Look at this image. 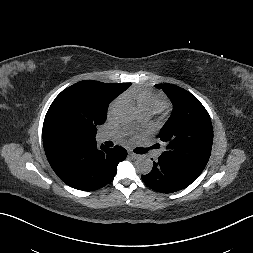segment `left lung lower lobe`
<instances>
[{"label": "left lung lower lobe", "mask_w": 253, "mask_h": 253, "mask_svg": "<svg viewBox=\"0 0 253 253\" xmlns=\"http://www.w3.org/2000/svg\"><path fill=\"white\" fill-rule=\"evenodd\" d=\"M202 171L184 163L159 156L153 162V169L142 175L143 182L155 191L172 193L189 186Z\"/></svg>", "instance_id": "1"}]
</instances>
